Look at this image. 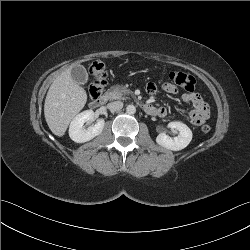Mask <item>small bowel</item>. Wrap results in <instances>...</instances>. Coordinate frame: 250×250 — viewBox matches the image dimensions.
<instances>
[{"mask_svg": "<svg viewBox=\"0 0 250 250\" xmlns=\"http://www.w3.org/2000/svg\"><path fill=\"white\" fill-rule=\"evenodd\" d=\"M163 89L169 93H176L179 91V86L172 84H164ZM146 91L149 94H153L156 92V86L153 83H149L146 86ZM182 100L185 103H189L193 106V109L187 112L186 118L193 125H202L209 116V108L204 99L197 93L188 92L182 95ZM156 109V115L159 117H164L167 114V110L165 107H158Z\"/></svg>", "mask_w": 250, "mask_h": 250, "instance_id": "obj_1", "label": "small bowel"}]
</instances>
